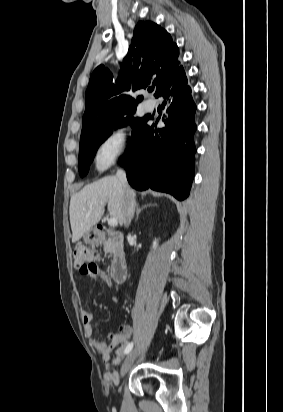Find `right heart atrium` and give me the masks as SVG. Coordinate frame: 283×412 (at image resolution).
Here are the masks:
<instances>
[{"label": "right heart atrium", "instance_id": "obj_1", "mask_svg": "<svg viewBox=\"0 0 283 412\" xmlns=\"http://www.w3.org/2000/svg\"><path fill=\"white\" fill-rule=\"evenodd\" d=\"M131 139V131L126 127H118L112 130L97 149V166L103 169L114 164L129 151Z\"/></svg>", "mask_w": 283, "mask_h": 412}]
</instances>
